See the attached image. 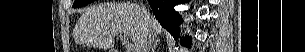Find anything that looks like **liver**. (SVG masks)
Here are the masks:
<instances>
[{
    "instance_id": "obj_1",
    "label": "liver",
    "mask_w": 305,
    "mask_h": 52,
    "mask_svg": "<svg viewBox=\"0 0 305 52\" xmlns=\"http://www.w3.org/2000/svg\"><path fill=\"white\" fill-rule=\"evenodd\" d=\"M76 30L91 45L111 48L118 34L130 37L136 47L147 30L156 37L161 34L162 27L151 14L146 20L137 5L107 3L85 11L77 22Z\"/></svg>"
}]
</instances>
